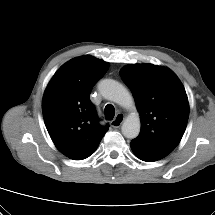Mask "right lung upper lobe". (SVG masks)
<instances>
[{"mask_svg":"<svg viewBox=\"0 0 215 215\" xmlns=\"http://www.w3.org/2000/svg\"><path fill=\"white\" fill-rule=\"evenodd\" d=\"M109 64L92 56L65 63L50 80L42 102L43 117L55 146L67 157L83 160L108 131L101 126L90 93Z\"/></svg>","mask_w":215,"mask_h":215,"instance_id":"obj_1","label":"right lung upper lobe"}]
</instances>
